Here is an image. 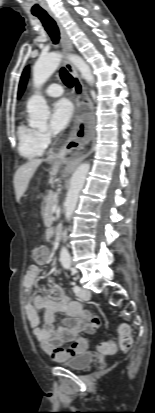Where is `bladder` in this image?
<instances>
[{
    "instance_id": "obj_1",
    "label": "bladder",
    "mask_w": 155,
    "mask_h": 413,
    "mask_svg": "<svg viewBox=\"0 0 155 413\" xmlns=\"http://www.w3.org/2000/svg\"><path fill=\"white\" fill-rule=\"evenodd\" d=\"M93 362V354L89 352H83L69 358L65 363H63V366L74 371H84L88 369L93 364Z\"/></svg>"
}]
</instances>
